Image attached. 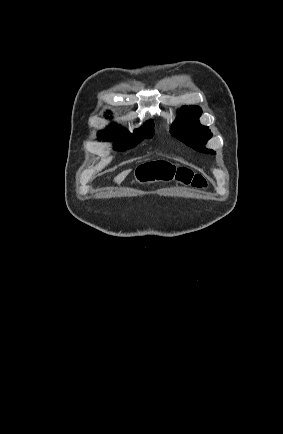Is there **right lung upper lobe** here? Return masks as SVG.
Returning a JSON list of instances; mask_svg holds the SVG:
<instances>
[{
	"instance_id": "right-lung-upper-lobe-1",
	"label": "right lung upper lobe",
	"mask_w": 283,
	"mask_h": 434,
	"mask_svg": "<svg viewBox=\"0 0 283 434\" xmlns=\"http://www.w3.org/2000/svg\"><path fill=\"white\" fill-rule=\"evenodd\" d=\"M146 124H153L152 121L146 122ZM120 129H124V128H120L118 125L113 124L112 127H110V129L105 130V131H109V130H120Z\"/></svg>"
}]
</instances>
